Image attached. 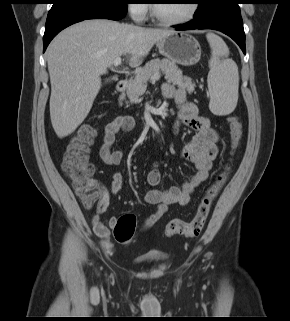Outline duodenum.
Masks as SVG:
<instances>
[{
	"mask_svg": "<svg viewBox=\"0 0 290 321\" xmlns=\"http://www.w3.org/2000/svg\"><path fill=\"white\" fill-rule=\"evenodd\" d=\"M115 88H116V91H117L118 93H123V92H125V90H126V88H127V81L124 80V79L119 80V81L116 83Z\"/></svg>",
	"mask_w": 290,
	"mask_h": 321,
	"instance_id": "1",
	"label": "duodenum"
}]
</instances>
